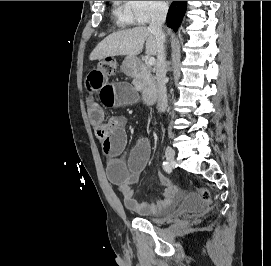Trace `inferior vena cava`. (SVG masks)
<instances>
[{
	"label": "inferior vena cava",
	"instance_id": "1",
	"mask_svg": "<svg viewBox=\"0 0 271 266\" xmlns=\"http://www.w3.org/2000/svg\"><path fill=\"white\" fill-rule=\"evenodd\" d=\"M168 12V6L165 3H157L154 6L151 15V22L148 27L157 41V65H156V77L158 88V107L162 112L167 108V92H166V56H165V34L162 30V25L166 20Z\"/></svg>",
	"mask_w": 271,
	"mask_h": 266
}]
</instances>
